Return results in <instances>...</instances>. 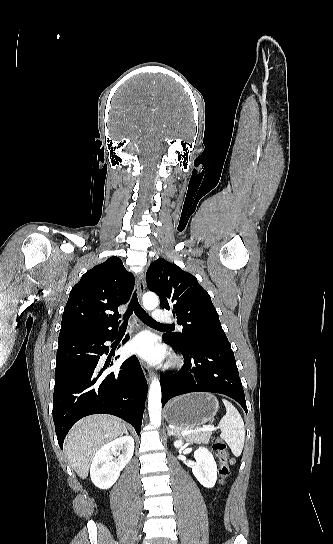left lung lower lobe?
<instances>
[{
	"instance_id": "obj_1",
	"label": "left lung lower lobe",
	"mask_w": 333,
	"mask_h": 544,
	"mask_svg": "<svg viewBox=\"0 0 333 544\" xmlns=\"http://www.w3.org/2000/svg\"><path fill=\"white\" fill-rule=\"evenodd\" d=\"M184 357V366L174 374L160 378L162 406L175 396L190 392H213L236 400L247 413L244 391L234 353L230 345L202 342L189 348H178L163 337Z\"/></svg>"
}]
</instances>
